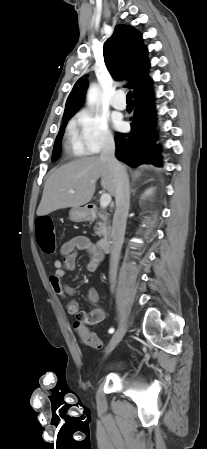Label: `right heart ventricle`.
Masks as SVG:
<instances>
[{
	"label": "right heart ventricle",
	"mask_w": 207,
	"mask_h": 449,
	"mask_svg": "<svg viewBox=\"0 0 207 449\" xmlns=\"http://www.w3.org/2000/svg\"><path fill=\"white\" fill-rule=\"evenodd\" d=\"M65 148L66 152L71 156L79 157L86 154L85 150L78 141L73 124H71L68 128Z\"/></svg>",
	"instance_id": "1"
}]
</instances>
